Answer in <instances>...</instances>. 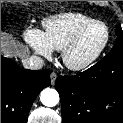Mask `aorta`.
Returning <instances> with one entry per match:
<instances>
[{"label": "aorta", "mask_w": 123, "mask_h": 123, "mask_svg": "<svg viewBox=\"0 0 123 123\" xmlns=\"http://www.w3.org/2000/svg\"><path fill=\"white\" fill-rule=\"evenodd\" d=\"M40 100L43 105L53 107L59 102V94L55 89L46 88L41 92Z\"/></svg>", "instance_id": "aorta-1"}]
</instances>
